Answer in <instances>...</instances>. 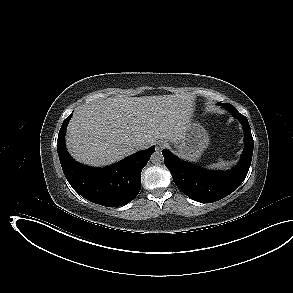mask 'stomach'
I'll return each instance as SVG.
<instances>
[{
    "mask_svg": "<svg viewBox=\"0 0 293 293\" xmlns=\"http://www.w3.org/2000/svg\"><path fill=\"white\" fill-rule=\"evenodd\" d=\"M210 143L209 134L198 122L187 125L183 139L176 144V154L189 162L199 160Z\"/></svg>",
    "mask_w": 293,
    "mask_h": 293,
    "instance_id": "0dacf381",
    "label": "stomach"
}]
</instances>
